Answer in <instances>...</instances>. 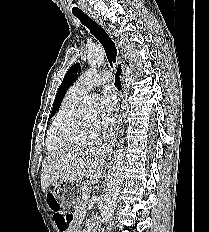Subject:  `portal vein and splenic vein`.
<instances>
[{"instance_id": "18ae733b", "label": "portal vein and splenic vein", "mask_w": 209, "mask_h": 232, "mask_svg": "<svg viewBox=\"0 0 209 232\" xmlns=\"http://www.w3.org/2000/svg\"><path fill=\"white\" fill-rule=\"evenodd\" d=\"M82 199L83 200H88L89 199V194L88 193H83L82 194Z\"/></svg>"}]
</instances>
